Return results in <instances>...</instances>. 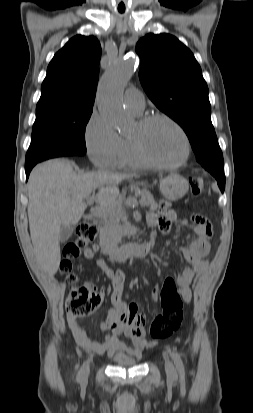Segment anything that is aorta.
<instances>
[{
    "label": "aorta",
    "instance_id": "aorta-1",
    "mask_svg": "<svg viewBox=\"0 0 253 413\" xmlns=\"http://www.w3.org/2000/svg\"><path fill=\"white\" fill-rule=\"evenodd\" d=\"M135 67V59L116 60L101 78L97 91L99 112L117 129L131 127V120L123 104V92Z\"/></svg>",
    "mask_w": 253,
    "mask_h": 413
}]
</instances>
